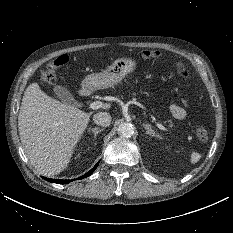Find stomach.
<instances>
[{
  "label": "stomach",
  "mask_w": 233,
  "mask_h": 233,
  "mask_svg": "<svg viewBox=\"0 0 233 233\" xmlns=\"http://www.w3.org/2000/svg\"><path fill=\"white\" fill-rule=\"evenodd\" d=\"M136 69V62L131 58L115 60L105 71L93 73L85 77L82 86L85 90L108 88L121 82Z\"/></svg>",
  "instance_id": "1"
}]
</instances>
